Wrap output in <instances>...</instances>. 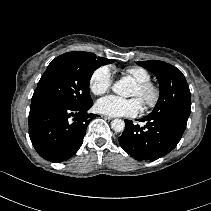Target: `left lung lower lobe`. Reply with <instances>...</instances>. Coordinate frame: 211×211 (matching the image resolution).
<instances>
[{"label":"left lung lower lobe","mask_w":211,"mask_h":211,"mask_svg":"<svg viewBox=\"0 0 211 211\" xmlns=\"http://www.w3.org/2000/svg\"><path fill=\"white\" fill-rule=\"evenodd\" d=\"M144 127L125 120L126 128L119 137L121 147L138 160L154 161L171 152L180 141L187 120L171 113H156L145 116Z\"/></svg>","instance_id":"obj_1"}]
</instances>
